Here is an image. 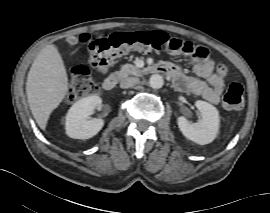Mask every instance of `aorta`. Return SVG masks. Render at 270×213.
I'll return each instance as SVG.
<instances>
[{
    "mask_svg": "<svg viewBox=\"0 0 270 213\" xmlns=\"http://www.w3.org/2000/svg\"><path fill=\"white\" fill-rule=\"evenodd\" d=\"M149 85L153 89H160L164 85V79L159 74H153L149 79Z\"/></svg>",
    "mask_w": 270,
    "mask_h": 213,
    "instance_id": "1",
    "label": "aorta"
}]
</instances>
